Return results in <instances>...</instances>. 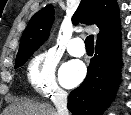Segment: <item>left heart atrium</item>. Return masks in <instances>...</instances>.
Listing matches in <instances>:
<instances>
[{"label": "left heart atrium", "instance_id": "obj_1", "mask_svg": "<svg viewBox=\"0 0 131 115\" xmlns=\"http://www.w3.org/2000/svg\"><path fill=\"white\" fill-rule=\"evenodd\" d=\"M85 73V67L80 62H68L61 68V83L65 87H74L84 79Z\"/></svg>", "mask_w": 131, "mask_h": 115}]
</instances>
